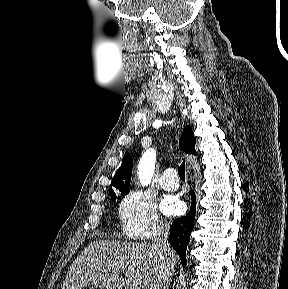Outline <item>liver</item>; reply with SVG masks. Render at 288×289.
<instances>
[{"label":"liver","instance_id":"liver-1","mask_svg":"<svg viewBox=\"0 0 288 289\" xmlns=\"http://www.w3.org/2000/svg\"><path fill=\"white\" fill-rule=\"evenodd\" d=\"M173 260L176 264L174 251ZM163 267L154 245L94 241L71 264L61 289H167L170 278L164 279Z\"/></svg>","mask_w":288,"mask_h":289}]
</instances>
